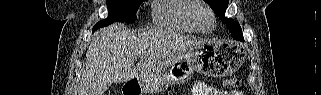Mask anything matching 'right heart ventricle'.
<instances>
[{
    "instance_id": "obj_1",
    "label": "right heart ventricle",
    "mask_w": 321,
    "mask_h": 95,
    "mask_svg": "<svg viewBox=\"0 0 321 95\" xmlns=\"http://www.w3.org/2000/svg\"><path fill=\"white\" fill-rule=\"evenodd\" d=\"M195 4L196 1L193 0H154L153 24L162 29L187 33L200 32L191 18Z\"/></svg>"
}]
</instances>
